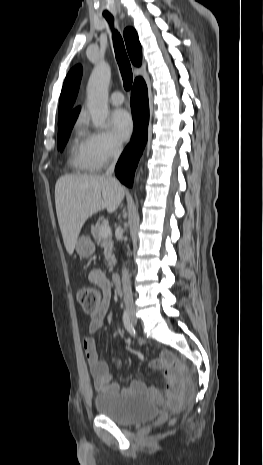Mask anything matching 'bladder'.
Returning a JSON list of instances; mask_svg holds the SVG:
<instances>
[{
  "label": "bladder",
  "mask_w": 263,
  "mask_h": 465,
  "mask_svg": "<svg viewBox=\"0 0 263 465\" xmlns=\"http://www.w3.org/2000/svg\"><path fill=\"white\" fill-rule=\"evenodd\" d=\"M94 405L99 414L123 426L147 422L158 413L152 401L129 391H104L95 397Z\"/></svg>",
  "instance_id": "bladder-1"
}]
</instances>
